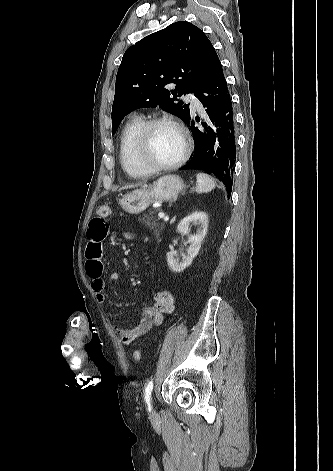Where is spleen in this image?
<instances>
[{"label": "spleen", "instance_id": "obj_1", "mask_svg": "<svg viewBox=\"0 0 333 471\" xmlns=\"http://www.w3.org/2000/svg\"><path fill=\"white\" fill-rule=\"evenodd\" d=\"M216 186L215 181L205 173L197 174L196 192L197 193H208L213 190Z\"/></svg>", "mask_w": 333, "mask_h": 471}]
</instances>
